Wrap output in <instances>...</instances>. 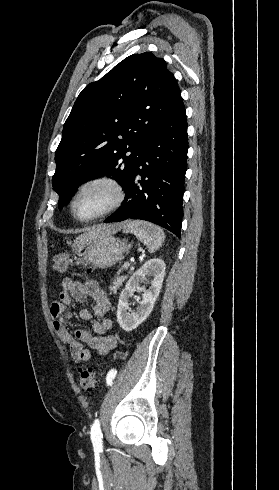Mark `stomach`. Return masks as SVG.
<instances>
[{
	"mask_svg": "<svg viewBox=\"0 0 279 490\" xmlns=\"http://www.w3.org/2000/svg\"><path fill=\"white\" fill-rule=\"evenodd\" d=\"M86 246V250L80 256L85 262H88L94 268H100V270L115 266L117 262L122 260L123 254H127L131 248L127 240L113 238L111 234L110 236H104V238H97V240H89ZM72 248L80 250L77 244H73Z\"/></svg>",
	"mask_w": 279,
	"mask_h": 490,
	"instance_id": "obj_1",
	"label": "stomach"
}]
</instances>
